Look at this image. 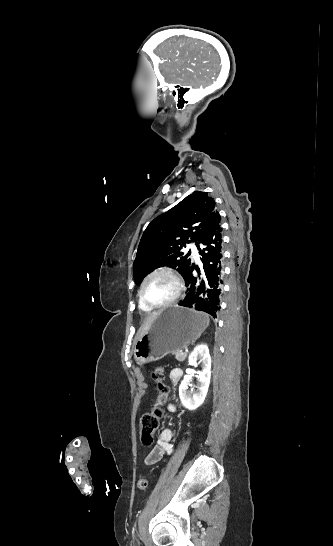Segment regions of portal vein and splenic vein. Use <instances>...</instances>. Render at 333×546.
<instances>
[{"mask_svg":"<svg viewBox=\"0 0 333 546\" xmlns=\"http://www.w3.org/2000/svg\"><path fill=\"white\" fill-rule=\"evenodd\" d=\"M185 352L188 353V349H185Z\"/></svg>","mask_w":333,"mask_h":546,"instance_id":"1","label":"portal vein and splenic vein"}]
</instances>
